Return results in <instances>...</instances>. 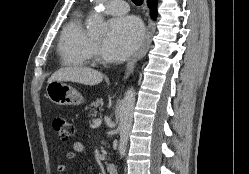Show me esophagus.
Instances as JSON below:
<instances>
[{
	"mask_svg": "<svg viewBox=\"0 0 249 174\" xmlns=\"http://www.w3.org/2000/svg\"><path fill=\"white\" fill-rule=\"evenodd\" d=\"M146 5V4H145ZM154 32V26L150 18H148L147 23H146V34L145 38L143 41V44L139 51L128 61L124 73V78L128 77L133 71L136 66V63L142 59L145 54L147 53L149 46L152 41V36Z\"/></svg>",
	"mask_w": 249,
	"mask_h": 174,
	"instance_id": "esophagus-1",
	"label": "esophagus"
}]
</instances>
